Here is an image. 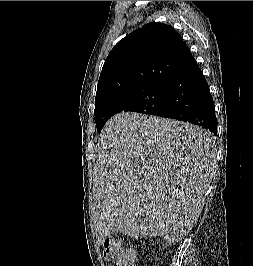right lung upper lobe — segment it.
Wrapping results in <instances>:
<instances>
[{
	"label": "right lung upper lobe",
	"mask_w": 253,
	"mask_h": 266,
	"mask_svg": "<svg viewBox=\"0 0 253 266\" xmlns=\"http://www.w3.org/2000/svg\"><path fill=\"white\" fill-rule=\"evenodd\" d=\"M195 63L173 27L148 23L120 40L109 53L98 81L95 105L149 83H170Z\"/></svg>",
	"instance_id": "cb5924a9"
}]
</instances>
